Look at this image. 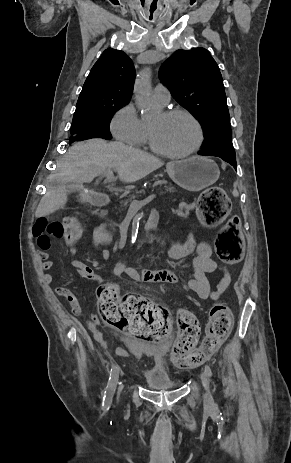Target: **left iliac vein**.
Wrapping results in <instances>:
<instances>
[{"mask_svg":"<svg viewBox=\"0 0 291 463\" xmlns=\"http://www.w3.org/2000/svg\"><path fill=\"white\" fill-rule=\"evenodd\" d=\"M201 382H202V385L205 389V395H204V402L207 406H210L212 404V395H211V391H210V379H209V375L207 374V372L204 370L201 372Z\"/></svg>","mask_w":291,"mask_h":463,"instance_id":"left-iliac-vein-1","label":"left iliac vein"}]
</instances>
